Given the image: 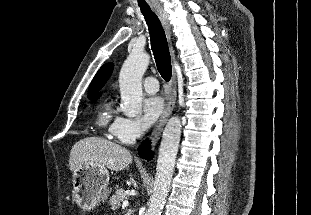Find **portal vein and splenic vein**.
I'll use <instances>...</instances> for the list:
<instances>
[{
    "label": "portal vein and splenic vein",
    "instance_id": "portal-vein-and-splenic-vein-1",
    "mask_svg": "<svg viewBox=\"0 0 311 215\" xmlns=\"http://www.w3.org/2000/svg\"><path fill=\"white\" fill-rule=\"evenodd\" d=\"M128 206V201H124L123 204H122V208H126Z\"/></svg>",
    "mask_w": 311,
    "mask_h": 215
}]
</instances>
